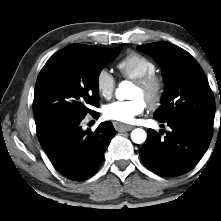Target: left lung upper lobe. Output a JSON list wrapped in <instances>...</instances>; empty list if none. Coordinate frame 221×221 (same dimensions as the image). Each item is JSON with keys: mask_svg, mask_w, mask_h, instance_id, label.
I'll list each match as a JSON object with an SVG mask.
<instances>
[{"mask_svg": "<svg viewBox=\"0 0 221 221\" xmlns=\"http://www.w3.org/2000/svg\"><path fill=\"white\" fill-rule=\"evenodd\" d=\"M138 49L152 55L162 68L165 91L154 118L159 122L189 118L212 129L214 96L197 61L184 49L168 42L140 45Z\"/></svg>", "mask_w": 221, "mask_h": 221, "instance_id": "5c2ea615", "label": "left lung upper lobe"}]
</instances>
